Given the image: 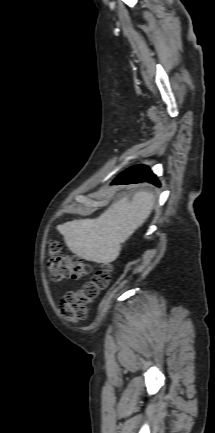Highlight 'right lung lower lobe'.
I'll return each mask as SVG.
<instances>
[{
    "label": "right lung lower lobe",
    "instance_id": "obj_1",
    "mask_svg": "<svg viewBox=\"0 0 215 433\" xmlns=\"http://www.w3.org/2000/svg\"><path fill=\"white\" fill-rule=\"evenodd\" d=\"M143 181H148L154 185L159 186L160 183L156 176L149 170L145 165L135 166L122 172L112 184H129V183H139Z\"/></svg>",
    "mask_w": 215,
    "mask_h": 433
}]
</instances>
